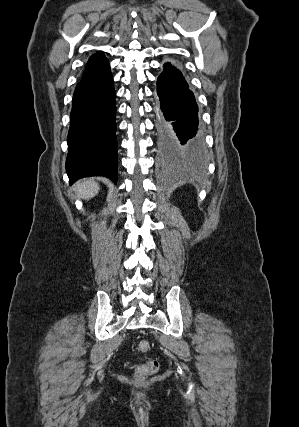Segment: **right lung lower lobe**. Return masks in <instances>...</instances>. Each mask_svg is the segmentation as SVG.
Instances as JSON below:
<instances>
[{
	"instance_id": "obj_1",
	"label": "right lung lower lobe",
	"mask_w": 299,
	"mask_h": 427,
	"mask_svg": "<svg viewBox=\"0 0 299 427\" xmlns=\"http://www.w3.org/2000/svg\"><path fill=\"white\" fill-rule=\"evenodd\" d=\"M115 96L110 71L77 85L66 159L70 184L88 176H105L117 182Z\"/></svg>"
}]
</instances>
